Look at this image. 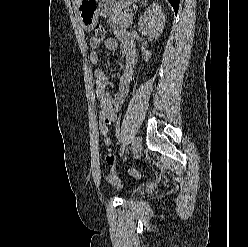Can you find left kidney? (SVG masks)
I'll return each mask as SVG.
<instances>
[{
  "label": "left kidney",
  "mask_w": 248,
  "mask_h": 247,
  "mask_svg": "<svg viewBox=\"0 0 248 247\" xmlns=\"http://www.w3.org/2000/svg\"><path fill=\"white\" fill-rule=\"evenodd\" d=\"M165 25V15L160 5L153 3L140 17L138 26L139 31L146 36L157 38L163 32ZM151 54L148 53V56ZM146 55V60H148Z\"/></svg>",
  "instance_id": "5707ae66"
}]
</instances>
